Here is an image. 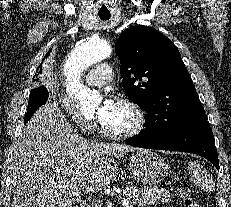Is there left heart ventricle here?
Here are the masks:
<instances>
[{
    "label": "left heart ventricle",
    "instance_id": "obj_1",
    "mask_svg": "<svg viewBox=\"0 0 231 207\" xmlns=\"http://www.w3.org/2000/svg\"><path fill=\"white\" fill-rule=\"evenodd\" d=\"M104 125L115 132L127 131L134 127L135 116L128 107L119 103L114 114Z\"/></svg>",
    "mask_w": 231,
    "mask_h": 207
}]
</instances>
